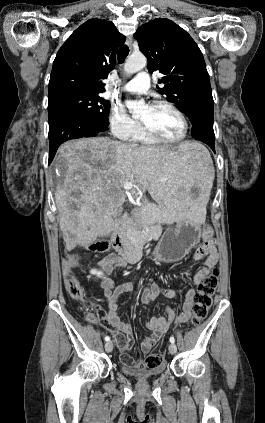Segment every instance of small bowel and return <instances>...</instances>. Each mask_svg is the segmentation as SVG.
<instances>
[{
    "mask_svg": "<svg viewBox=\"0 0 265 423\" xmlns=\"http://www.w3.org/2000/svg\"><path fill=\"white\" fill-rule=\"evenodd\" d=\"M194 259L197 261L204 260V266L198 270L193 277V284L198 286L218 261V253L215 248L214 240L210 238L207 245L199 247L194 254ZM125 264L126 263L123 262L118 255L113 253L107 255L99 262V267L103 273L101 277V287L106 297L108 310L104 328L112 334L121 353V362L128 367H141L143 365L142 360H134L128 355V351L134 343L132 329L129 324L122 320L120 315L121 307L118 304L119 296L122 294H129L133 290V284L126 282L115 287L113 280L110 278L111 273L117 267ZM195 294L196 290L193 288L185 293V302L182 306V310L177 314L167 305L161 304L167 318L162 316L152 317L147 321L146 328L149 331V335L144 337L140 342V349L143 353H148L152 349L161 336L168 331L170 324H182L190 319ZM161 295L172 299L178 297L175 288L164 287L152 281L143 291L141 299L144 304H150L152 302H159ZM126 302L127 301H124L123 304H126Z\"/></svg>",
    "mask_w": 265,
    "mask_h": 423,
    "instance_id": "obj_1",
    "label": "small bowel"
}]
</instances>
